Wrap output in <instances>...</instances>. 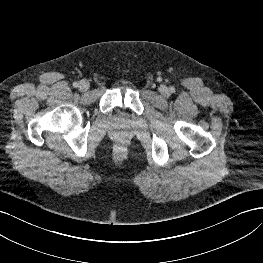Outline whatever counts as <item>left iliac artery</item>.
Returning a JSON list of instances; mask_svg holds the SVG:
<instances>
[{"label": "left iliac artery", "instance_id": "obj_1", "mask_svg": "<svg viewBox=\"0 0 263 263\" xmlns=\"http://www.w3.org/2000/svg\"><path fill=\"white\" fill-rule=\"evenodd\" d=\"M169 90H170L171 93H174V92H175V88H174V87H170Z\"/></svg>", "mask_w": 263, "mask_h": 263}]
</instances>
